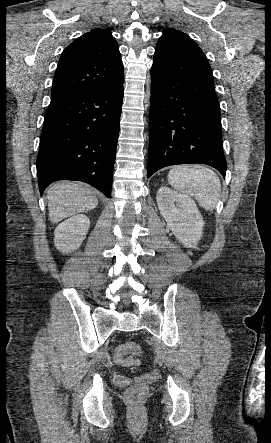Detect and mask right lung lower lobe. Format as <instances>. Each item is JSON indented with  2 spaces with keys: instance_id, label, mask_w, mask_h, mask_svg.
Returning <instances> with one entry per match:
<instances>
[{
  "instance_id": "1",
  "label": "right lung lower lobe",
  "mask_w": 271,
  "mask_h": 443,
  "mask_svg": "<svg viewBox=\"0 0 271 443\" xmlns=\"http://www.w3.org/2000/svg\"><path fill=\"white\" fill-rule=\"evenodd\" d=\"M123 83L51 98L36 162L41 195L54 181L73 180L111 197Z\"/></svg>"
}]
</instances>
